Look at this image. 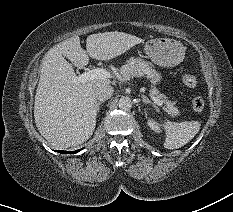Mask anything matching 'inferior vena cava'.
<instances>
[{"label": "inferior vena cava", "mask_w": 233, "mask_h": 212, "mask_svg": "<svg viewBox=\"0 0 233 212\" xmlns=\"http://www.w3.org/2000/svg\"><path fill=\"white\" fill-rule=\"evenodd\" d=\"M114 93V89L110 85L101 84L95 86L94 95L97 100L104 101L109 99Z\"/></svg>", "instance_id": "602c4592"}]
</instances>
